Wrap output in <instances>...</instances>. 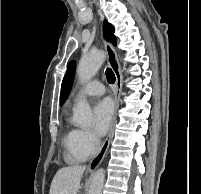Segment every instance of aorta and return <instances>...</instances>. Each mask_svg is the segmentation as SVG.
Returning a JSON list of instances; mask_svg holds the SVG:
<instances>
[{
	"instance_id": "aorta-1",
	"label": "aorta",
	"mask_w": 201,
	"mask_h": 194,
	"mask_svg": "<svg viewBox=\"0 0 201 194\" xmlns=\"http://www.w3.org/2000/svg\"><path fill=\"white\" fill-rule=\"evenodd\" d=\"M105 54L101 50H95L85 55L79 61L77 74L81 82L91 80L104 62ZM74 122L84 128L90 127L92 123V111L89 104L85 101L79 102L73 109ZM105 180V171L98 169L91 180L88 194H102Z\"/></svg>"
}]
</instances>
